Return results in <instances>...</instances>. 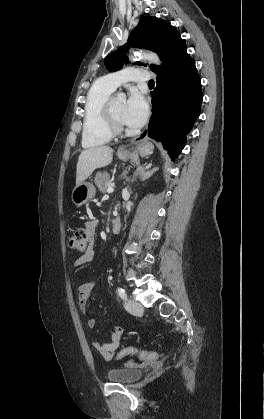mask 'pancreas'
Segmentation results:
<instances>
[{
  "instance_id": "obj_1",
  "label": "pancreas",
  "mask_w": 264,
  "mask_h": 419,
  "mask_svg": "<svg viewBox=\"0 0 264 419\" xmlns=\"http://www.w3.org/2000/svg\"><path fill=\"white\" fill-rule=\"evenodd\" d=\"M95 184L97 185L98 189L104 193L107 191V188L110 186V176L107 172H97L95 176Z\"/></svg>"
}]
</instances>
